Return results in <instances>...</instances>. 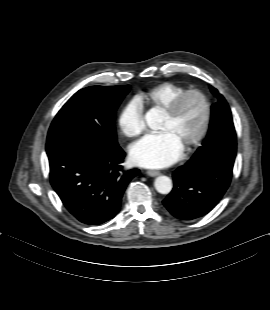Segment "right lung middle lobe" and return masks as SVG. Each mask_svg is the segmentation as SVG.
<instances>
[{"instance_id": "obj_1", "label": "right lung middle lobe", "mask_w": 270, "mask_h": 310, "mask_svg": "<svg viewBox=\"0 0 270 310\" xmlns=\"http://www.w3.org/2000/svg\"><path fill=\"white\" fill-rule=\"evenodd\" d=\"M130 86H91L75 93L55 116L49 142H87L102 147L118 145L115 112Z\"/></svg>"}]
</instances>
